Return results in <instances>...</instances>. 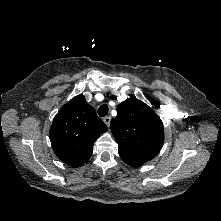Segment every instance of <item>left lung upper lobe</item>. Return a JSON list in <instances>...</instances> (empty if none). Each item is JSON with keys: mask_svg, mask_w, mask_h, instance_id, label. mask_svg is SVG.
Wrapping results in <instances>:
<instances>
[{"mask_svg": "<svg viewBox=\"0 0 221 221\" xmlns=\"http://www.w3.org/2000/svg\"><path fill=\"white\" fill-rule=\"evenodd\" d=\"M119 145L121 159L132 167H139L153 159L164 140L163 123L145 103L131 97L117 107V116L110 123Z\"/></svg>", "mask_w": 221, "mask_h": 221, "instance_id": "left-lung-upper-lobe-1", "label": "left lung upper lobe"}]
</instances>
